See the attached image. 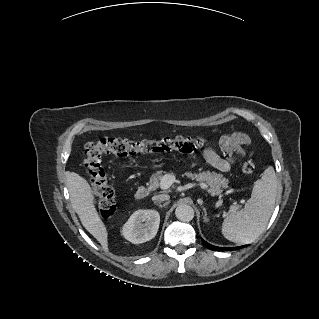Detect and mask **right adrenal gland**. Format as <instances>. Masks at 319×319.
Segmentation results:
<instances>
[{
    "label": "right adrenal gland",
    "instance_id": "obj_1",
    "mask_svg": "<svg viewBox=\"0 0 319 319\" xmlns=\"http://www.w3.org/2000/svg\"><path fill=\"white\" fill-rule=\"evenodd\" d=\"M154 204L159 206V207H161V208H163V207H165L168 204V202H166L164 204H161V203H158V202H154Z\"/></svg>",
    "mask_w": 319,
    "mask_h": 319
}]
</instances>
